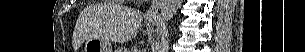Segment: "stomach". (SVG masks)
Returning a JSON list of instances; mask_svg holds the SVG:
<instances>
[{
	"instance_id": "1",
	"label": "stomach",
	"mask_w": 305,
	"mask_h": 52,
	"mask_svg": "<svg viewBox=\"0 0 305 52\" xmlns=\"http://www.w3.org/2000/svg\"><path fill=\"white\" fill-rule=\"evenodd\" d=\"M83 52H112V49L108 40L93 37L85 40Z\"/></svg>"
}]
</instances>
